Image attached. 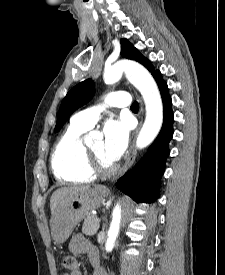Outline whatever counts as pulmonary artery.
I'll return each instance as SVG.
<instances>
[{
  "mask_svg": "<svg viewBox=\"0 0 225 275\" xmlns=\"http://www.w3.org/2000/svg\"><path fill=\"white\" fill-rule=\"evenodd\" d=\"M131 104L130 94L127 92L112 91L105 96L104 105H96L87 110L81 111L73 115L72 123L91 128L98 120L100 113L106 107H126Z\"/></svg>",
  "mask_w": 225,
  "mask_h": 275,
  "instance_id": "obj_1",
  "label": "pulmonary artery"
}]
</instances>
